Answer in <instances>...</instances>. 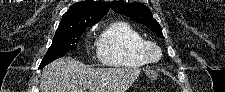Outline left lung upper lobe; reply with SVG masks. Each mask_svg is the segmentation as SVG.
I'll return each instance as SVG.
<instances>
[{
    "label": "left lung upper lobe",
    "instance_id": "1",
    "mask_svg": "<svg viewBox=\"0 0 225 92\" xmlns=\"http://www.w3.org/2000/svg\"><path fill=\"white\" fill-rule=\"evenodd\" d=\"M110 7L116 13L124 14L129 16L131 19L146 25L158 36L164 38L159 23L153 18L152 13L148 7L141 5L138 2L125 3L123 1H112Z\"/></svg>",
    "mask_w": 225,
    "mask_h": 92
}]
</instances>
